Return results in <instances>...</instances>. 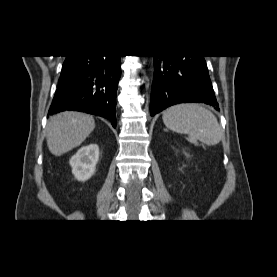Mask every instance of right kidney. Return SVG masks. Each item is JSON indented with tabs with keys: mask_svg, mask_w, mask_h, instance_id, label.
<instances>
[{
	"mask_svg": "<svg viewBox=\"0 0 277 277\" xmlns=\"http://www.w3.org/2000/svg\"><path fill=\"white\" fill-rule=\"evenodd\" d=\"M98 159L99 147L97 144L81 147L69 161L75 178L79 181L88 180L95 172Z\"/></svg>",
	"mask_w": 277,
	"mask_h": 277,
	"instance_id": "right-kidney-1",
	"label": "right kidney"
}]
</instances>
